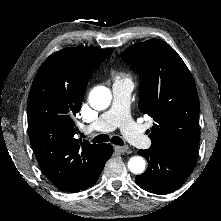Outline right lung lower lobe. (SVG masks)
Listing matches in <instances>:
<instances>
[{"label":"right lung lower lobe","instance_id":"right-lung-lower-lobe-1","mask_svg":"<svg viewBox=\"0 0 221 221\" xmlns=\"http://www.w3.org/2000/svg\"><path fill=\"white\" fill-rule=\"evenodd\" d=\"M102 148H103V152H102L101 161H100L99 165L96 167L95 173L93 174L88 185L83 187L82 190L86 189L87 187H91L92 185H94L96 183L98 177L100 176V174L104 168L106 161L111 157V155L113 153V147L111 144H103Z\"/></svg>","mask_w":221,"mask_h":221}]
</instances>
